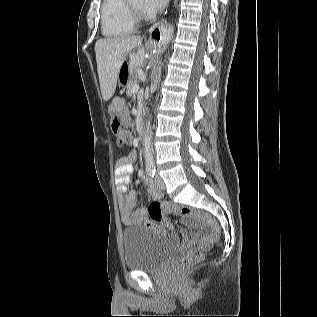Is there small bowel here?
Masks as SVG:
<instances>
[{
	"instance_id": "c3829d8e",
	"label": "small bowel",
	"mask_w": 317,
	"mask_h": 317,
	"mask_svg": "<svg viewBox=\"0 0 317 317\" xmlns=\"http://www.w3.org/2000/svg\"><path fill=\"white\" fill-rule=\"evenodd\" d=\"M133 160L134 154L120 158L117 162L115 171V183L119 193L121 219L125 224L143 223L149 227L155 228L160 233L166 234L168 226H155L149 221L147 209L145 207L134 209L137 203V197L133 192H127V187L130 183L133 171ZM149 193L153 198H159L162 195V192L153 184L149 185Z\"/></svg>"
}]
</instances>
